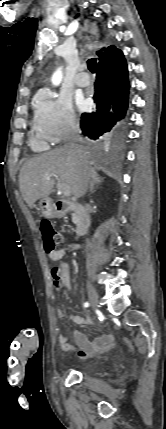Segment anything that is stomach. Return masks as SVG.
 <instances>
[{"label":"stomach","mask_w":166,"mask_h":429,"mask_svg":"<svg viewBox=\"0 0 166 429\" xmlns=\"http://www.w3.org/2000/svg\"><path fill=\"white\" fill-rule=\"evenodd\" d=\"M39 207L43 216L51 218L56 215L53 201L49 197H43L39 201Z\"/></svg>","instance_id":"0dacf381"}]
</instances>
